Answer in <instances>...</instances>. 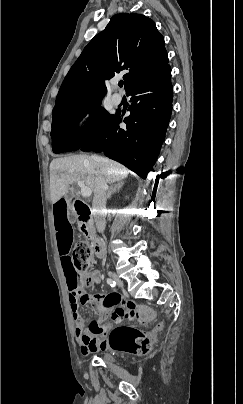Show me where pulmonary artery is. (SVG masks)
Here are the masks:
<instances>
[{"label":"pulmonary artery","mask_w":243,"mask_h":404,"mask_svg":"<svg viewBox=\"0 0 243 404\" xmlns=\"http://www.w3.org/2000/svg\"><path fill=\"white\" fill-rule=\"evenodd\" d=\"M118 82H119V79L116 77V78H114V79H112V86L116 89L117 87H118ZM112 100H113V103L115 104V105H119L120 103H122V101H123V95L120 93V92H118L117 90L115 91V93L113 94V96H112Z\"/></svg>","instance_id":"pulmonary-artery-1"}]
</instances>
